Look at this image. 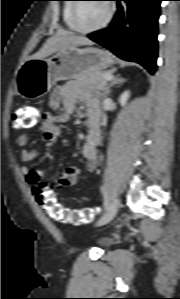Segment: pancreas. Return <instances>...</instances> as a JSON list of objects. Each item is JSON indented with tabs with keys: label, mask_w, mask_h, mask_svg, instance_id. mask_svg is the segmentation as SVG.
I'll return each mask as SVG.
<instances>
[{
	"label": "pancreas",
	"mask_w": 180,
	"mask_h": 299,
	"mask_svg": "<svg viewBox=\"0 0 180 299\" xmlns=\"http://www.w3.org/2000/svg\"><path fill=\"white\" fill-rule=\"evenodd\" d=\"M107 74H111L108 71L91 72L80 78L83 85L87 88L101 92L105 91L108 87V81L104 79Z\"/></svg>",
	"instance_id": "1"
}]
</instances>
